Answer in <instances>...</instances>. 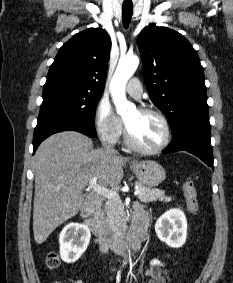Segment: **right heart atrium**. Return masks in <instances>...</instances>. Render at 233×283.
I'll use <instances>...</instances> for the list:
<instances>
[{
	"mask_svg": "<svg viewBox=\"0 0 233 283\" xmlns=\"http://www.w3.org/2000/svg\"><path fill=\"white\" fill-rule=\"evenodd\" d=\"M94 125L99 137L107 144H116L123 133L122 120L103 100L96 107Z\"/></svg>",
	"mask_w": 233,
	"mask_h": 283,
	"instance_id": "obj_1",
	"label": "right heart atrium"
}]
</instances>
